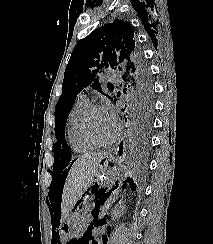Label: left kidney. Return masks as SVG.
<instances>
[{
  "instance_id": "1",
  "label": "left kidney",
  "mask_w": 213,
  "mask_h": 244,
  "mask_svg": "<svg viewBox=\"0 0 213 244\" xmlns=\"http://www.w3.org/2000/svg\"><path fill=\"white\" fill-rule=\"evenodd\" d=\"M124 208H125V206H121V205H120V207H119L120 210L115 211V212H114V215L116 216L117 214H119V212H120V213H121V212L123 213V209H124Z\"/></svg>"
}]
</instances>
